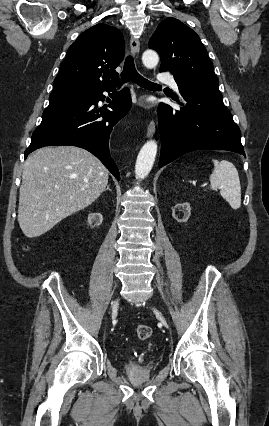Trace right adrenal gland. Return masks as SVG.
Segmentation results:
<instances>
[{"label": "right adrenal gland", "instance_id": "right-adrenal-gland-1", "mask_svg": "<svg viewBox=\"0 0 269 426\" xmlns=\"http://www.w3.org/2000/svg\"><path fill=\"white\" fill-rule=\"evenodd\" d=\"M106 190L112 191V190L110 189V185H107Z\"/></svg>", "mask_w": 269, "mask_h": 426}]
</instances>
